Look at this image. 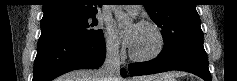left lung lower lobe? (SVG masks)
<instances>
[{
	"instance_id": "0a47b994",
	"label": "left lung lower lobe",
	"mask_w": 237,
	"mask_h": 81,
	"mask_svg": "<svg viewBox=\"0 0 237 81\" xmlns=\"http://www.w3.org/2000/svg\"><path fill=\"white\" fill-rule=\"evenodd\" d=\"M128 69L133 76L180 70L211 81L203 39L189 41L167 54L161 52L151 61L129 64Z\"/></svg>"
}]
</instances>
